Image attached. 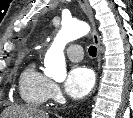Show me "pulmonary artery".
<instances>
[{"label": "pulmonary artery", "instance_id": "obj_1", "mask_svg": "<svg viewBox=\"0 0 133 118\" xmlns=\"http://www.w3.org/2000/svg\"><path fill=\"white\" fill-rule=\"evenodd\" d=\"M67 57L74 62L81 61L83 59V50L81 45L72 44L66 50Z\"/></svg>", "mask_w": 133, "mask_h": 118}]
</instances>
